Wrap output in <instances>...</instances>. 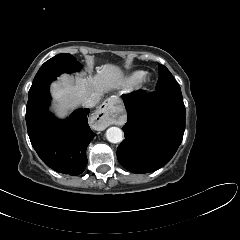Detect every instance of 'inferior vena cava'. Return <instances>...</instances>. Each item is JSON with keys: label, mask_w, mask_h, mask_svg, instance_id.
Masks as SVG:
<instances>
[{"label": "inferior vena cava", "mask_w": 240, "mask_h": 240, "mask_svg": "<svg viewBox=\"0 0 240 240\" xmlns=\"http://www.w3.org/2000/svg\"><path fill=\"white\" fill-rule=\"evenodd\" d=\"M100 98V94H93L89 98L85 99L82 102V105L86 108H92L99 102Z\"/></svg>", "instance_id": "1"}]
</instances>
